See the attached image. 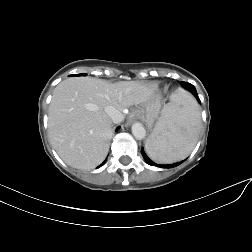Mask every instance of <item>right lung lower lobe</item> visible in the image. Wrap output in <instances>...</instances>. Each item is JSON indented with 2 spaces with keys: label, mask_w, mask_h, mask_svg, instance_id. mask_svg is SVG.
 <instances>
[{
  "label": "right lung lower lobe",
  "mask_w": 252,
  "mask_h": 252,
  "mask_svg": "<svg viewBox=\"0 0 252 252\" xmlns=\"http://www.w3.org/2000/svg\"><path fill=\"white\" fill-rule=\"evenodd\" d=\"M103 164H104V162L101 165H99L97 168L101 167Z\"/></svg>",
  "instance_id": "1"
}]
</instances>
